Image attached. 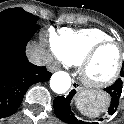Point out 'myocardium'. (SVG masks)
Masks as SVG:
<instances>
[{
  "mask_svg": "<svg viewBox=\"0 0 124 124\" xmlns=\"http://www.w3.org/2000/svg\"><path fill=\"white\" fill-rule=\"evenodd\" d=\"M110 45L115 46L119 51V61H118V64H117V67L114 73L108 79L103 80V81L97 82V81L91 80L87 76V69H88L89 64L92 62L94 57L97 55V53L101 49H103L104 47L110 46ZM123 68H124V49L119 43L110 39V40L97 43L87 52V54L82 58V60L79 63L78 74H79V77L82 83L85 86L91 89L98 90V89L107 88L111 86L112 84H114L118 80Z\"/></svg>",
  "mask_w": 124,
  "mask_h": 124,
  "instance_id": "myocardium-1",
  "label": "myocardium"
}]
</instances>
